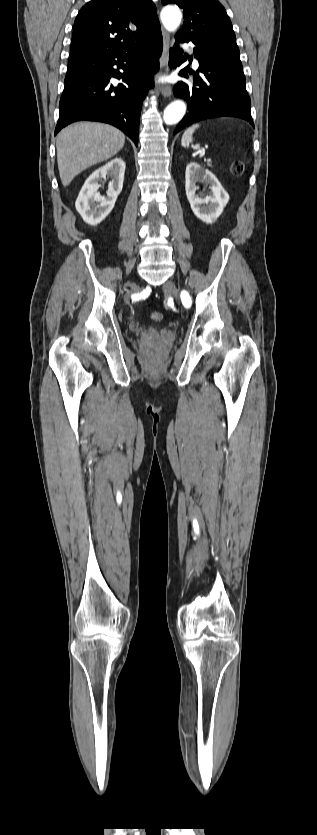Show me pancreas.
<instances>
[{"label":"pancreas","instance_id":"obj_1","mask_svg":"<svg viewBox=\"0 0 317 835\" xmlns=\"http://www.w3.org/2000/svg\"><path fill=\"white\" fill-rule=\"evenodd\" d=\"M208 166L212 167V164H211V163H208Z\"/></svg>","mask_w":317,"mask_h":835}]
</instances>
